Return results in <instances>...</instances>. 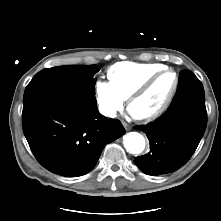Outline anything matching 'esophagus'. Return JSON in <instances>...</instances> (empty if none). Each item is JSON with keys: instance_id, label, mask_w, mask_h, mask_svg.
<instances>
[{"instance_id": "1", "label": "esophagus", "mask_w": 221, "mask_h": 221, "mask_svg": "<svg viewBox=\"0 0 221 221\" xmlns=\"http://www.w3.org/2000/svg\"><path fill=\"white\" fill-rule=\"evenodd\" d=\"M122 125L124 126V128L128 131V130H130V126H129V124L128 123H126V122H122Z\"/></svg>"}]
</instances>
